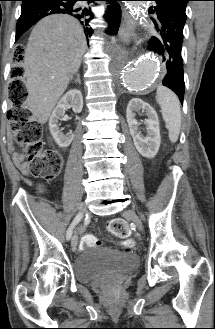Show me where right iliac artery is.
<instances>
[{
	"instance_id": "obj_1",
	"label": "right iliac artery",
	"mask_w": 215,
	"mask_h": 329,
	"mask_svg": "<svg viewBox=\"0 0 215 329\" xmlns=\"http://www.w3.org/2000/svg\"><path fill=\"white\" fill-rule=\"evenodd\" d=\"M82 219L80 214H77V216L74 218V220L72 221V223L70 224L67 232H66V238L69 240L72 236L73 233V229L74 227L80 222V220Z\"/></svg>"
}]
</instances>
